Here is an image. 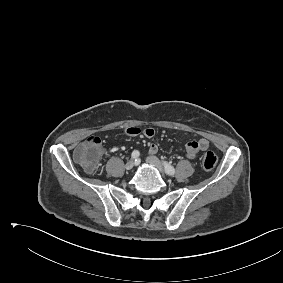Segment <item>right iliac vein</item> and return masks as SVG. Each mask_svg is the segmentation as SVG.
Segmentation results:
<instances>
[{
  "label": "right iliac vein",
  "instance_id": "63e3f726",
  "mask_svg": "<svg viewBox=\"0 0 283 283\" xmlns=\"http://www.w3.org/2000/svg\"><path fill=\"white\" fill-rule=\"evenodd\" d=\"M135 163L133 160H130L126 163L125 168L126 170H131L134 167Z\"/></svg>",
  "mask_w": 283,
  "mask_h": 283
}]
</instances>
